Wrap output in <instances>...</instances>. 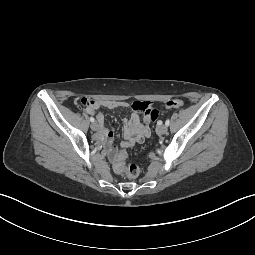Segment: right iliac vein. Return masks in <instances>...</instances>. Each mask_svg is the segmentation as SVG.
<instances>
[{"instance_id":"1","label":"right iliac vein","mask_w":255,"mask_h":255,"mask_svg":"<svg viewBox=\"0 0 255 255\" xmlns=\"http://www.w3.org/2000/svg\"><path fill=\"white\" fill-rule=\"evenodd\" d=\"M98 128H99V125H98L97 122H93V123L91 124V129H92L93 131H97Z\"/></svg>"}]
</instances>
